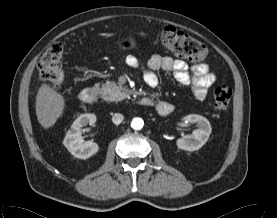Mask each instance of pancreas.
<instances>
[{
	"label": "pancreas",
	"mask_w": 277,
	"mask_h": 218,
	"mask_svg": "<svg viewBox=\"0 0 277 218\" xmlns=\"http://www.w3.org/2000/svg\"><path fill=\"white\" fill-rule=\"evenodd\" d=\"M101 97L106 101H122L129 97L130 91L126 87L118 86L115 82L107 81L101 85L95 84Z\"/></svg>",
	"instance_id": "pancreas-1"
}]
</instances>
